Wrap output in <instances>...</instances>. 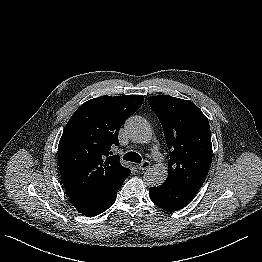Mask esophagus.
Listing matches in <instances>:
<instances>
[{
	"instance_id": "esophagus-1",
	"label": "esophagus",
	"mask_w": 262,
	"mask_h": 262,
	"mask_svg": "<svg viewBox=\"0 0 262 262\" xmlns=\"http://www.w3.org/2000/svg\"><path fill=\"white\" fill-rule=\"evenodd\" d=\"M150 166H151L150 162L147 161V160H145V161H143L141 164H138V165H137V168H138L139 170H146V169H149Z\"/></svg>"
}]
</instances>
